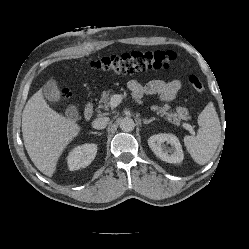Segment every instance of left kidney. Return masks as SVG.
Segmentation results:
<instances>
[{
  "label": "left kidney",
  "mask_w": 249,
  "mask_h": 249,
  "mask_svg": "<svg viewBox=\"0 0 249 249\" xmlns=\"http://www.w3.org/2000/svg\"><path fill=\"white\" fill-rule=\"evenodd\" d=\"M166 142L172 146V153L164 151L162 145ZM148 145L154 154L161 160L168 163H180L184 159L182 146L179 139L173 134H156L148 139Z\"/></svg>",
  "instance_id": "1"
}]
</instances>
